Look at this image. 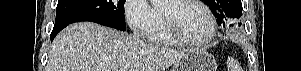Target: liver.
Instances as JSON below:
<instances>
[{
    "label": "liver",
    "instance_id": "liver-1",
    "mask_svg": "<svg viewBox=\"0 0 301 71\" xmlns=\"http://www.w3.org/2000/svg\"><path fill=\"white\" fill-rule=\"evenodd\" d=\"M188 51L146 43L139 37L91 22L67 26L54 39L46 71H165Z\"/></svg>",
    "mask_w": 301,
    "mask_h": 71
}]
</instances>
